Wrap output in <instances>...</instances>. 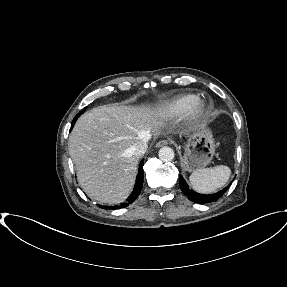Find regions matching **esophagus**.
Returning a JSON list of instances; mask_svg holds the SVG:
<instances>
[{
  "mask_svg": "<svg viewBox=\"0 0 287 287\" xmlns=\"http://www.w3.org/2000/svg\"><path fill=\"white\" fill-rule=\"evenodd\" d=\"M168 144H169L168 140H160V141H158V142L155 144V147L159 148V147H162V146H166V145H168Z\"/></svg>",
  "mask_w": 287,
  "mask_h": 287,
  "instance_id": "esophagus-1",
  "label": "esophagus"
}]
</instances>
